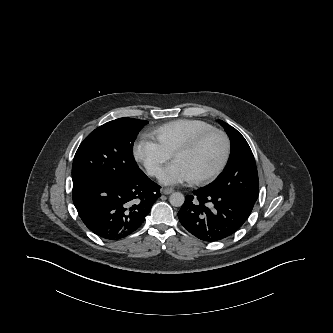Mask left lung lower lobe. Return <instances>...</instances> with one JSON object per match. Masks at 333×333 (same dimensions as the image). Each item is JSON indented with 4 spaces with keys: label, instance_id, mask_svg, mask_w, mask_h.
<instances>
[{
    "label": "left lung lower lobe",
    "instance_id": "0a47b994",
    "mask_svg": "<svg viewBox=\"0 0 333 333\" xmlns=\"http://www.w3.org/2000/svg\"><path fill=\"white\" fill-rule=\"evenodd\" d=\"M252 209V205L227 191L208 186L186 196L178 218L192 235L213 242L225 239L240 229Z\"/></svg>",
    "mask_w": 333,
    "mask_h": 333
}]
</instances>
